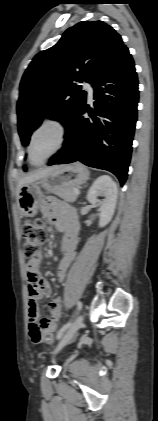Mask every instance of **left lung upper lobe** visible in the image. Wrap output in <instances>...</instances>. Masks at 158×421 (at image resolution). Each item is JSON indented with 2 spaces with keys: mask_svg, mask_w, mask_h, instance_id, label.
Here are the masks:
<instances>
[{
  "mask_svg": "<svg viewBox=\"0 0 158 421\" xmlns=\"http://www.w3.org/2000/svg\"><path fill=\"white\" fill-rule=\"evenodd\" d=\"M123 45L121 36L106 23L83 21L66 30L56 45L38 53L20 83L17 114L22 144L28 145L45 114L68 128L86 103V92L77 82L92 84Z\"/></svg>",
  "mask_w": 158,
  "mask_h": 421,
  "instance_id": "5c2ea615",
  "label": "left lung upper lobe"
}]
</instances>
